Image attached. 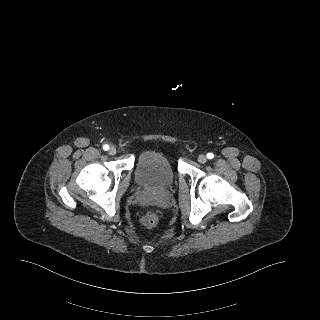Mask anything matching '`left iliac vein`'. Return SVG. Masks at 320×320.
Here are the masks:
<instances>
[{"label":"left iliac vein","mask_w":320,"mask_h":320,"mask_svg":"<svg viewBox=\"0 0 320 320\" xmlns=\"http://www.w3.org/2000/svg\"><path fill=\"white\" fill-rule=\"evenodd\" d=\"M206 161H207V158H206L205 155L201 154V155L198 156V162L199 163L204 164V163H206Z\"/></svg>","instance_id":"left-iliac-vein-1"}]
</instances>
